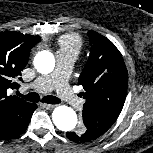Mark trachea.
<instances>
[{
    "label": "trachea",
    "instance_id": "obj_1",
    "mask_svg": "<svg viewBox=\"0 0 153 153\" xmlns=\"http://www.w3.org/2000/svg\"><path fill=\"white\" fill-rule=\"evenodd\" d=\"M19 96H21L22 98L26 99L27 101H31V102H39L40 101V96L36 92H32L27 95L19 94ZM41 102H45L47 104H59V103H61V100L55 96L47 95L42 98Z\"/></svg>",
    "mask_w": 153,
    "mask_h": 153
}]
</instances>
